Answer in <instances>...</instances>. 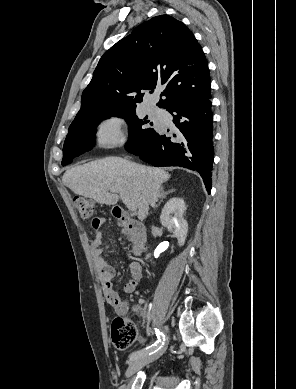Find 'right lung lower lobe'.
I'll use <instances>...</instances> for the list:
<instances>
[{
  "mask_svg": "<svg viewBox=\"0 0 296 389\" xmlns=\"http://www.w3.org/2000/svg\"><path fill=\"white\" fill-rule=\"evenodd\" d=\"M211 92L182 101L170 108L178 134L155 132L140 150L129 151L153 166H181L200 174L208 193L214 159Z\"/></svg>",
  "mask_w": 296,
  "mask_h": 389,
  "instance_id": "1",
  "label": "right lung lower lobe"
}]
</instances>
